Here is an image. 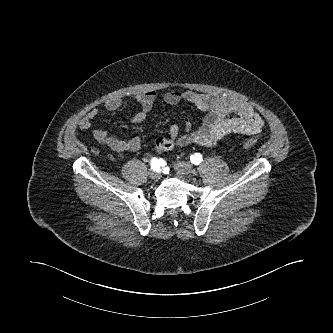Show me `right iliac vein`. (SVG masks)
<instances>
[{
	"instance_id": "obj_1",
	"label": "right iliac vein",
	"mask_w": 333,
	"mask_h": 333,
	"mask_svg": "<svg viewBox=\"0 0 333 333\" xmlns=\"http://www.w3.org/2000/svg\"><path fill=\"white\" fill-rule=\"evenodd\" d=\"M149 176L153 180H158L160 178V171H153V170H151L149 172Z\"/></svg>"
}]
</instances>
